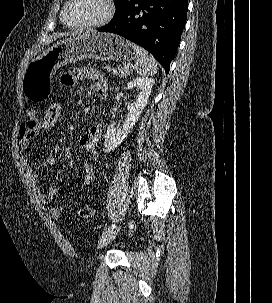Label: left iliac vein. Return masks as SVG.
I'll use <instances>...</instances> for the list:
<instances>
[{
  "instance_id": "obj_1",
  "label": "left iliac vein",
  "mask_w": 272,
  "mask_h": 303,
  "mask_svg": "<svg viewBox=\"0 0 272 303\" xmlns=\"http://www.w3.org/2000/svg\"><path fill=\"white\" fill-rule=\"evenodd\" d=\"M119 229L120 227L115 225L114 229L103 235L98 242V248H103L107 243H109Z\"/></svg>"
}]
</instances>
